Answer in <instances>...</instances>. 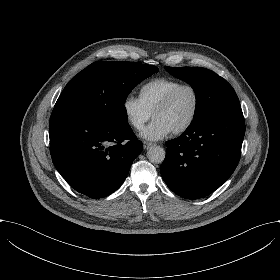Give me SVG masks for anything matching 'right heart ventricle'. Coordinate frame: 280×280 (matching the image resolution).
I'll return each mask as SVG.
<instances>
[{"instance_id": "obj_1", "label": "right heart ventricle", "mask_w": 280, "mask_h": 280, "mask_svg": "<svg viewBox=\"0 0 280 280\" xmlns=\"http://www.w3.org/2000/svg\"><path fill=\"white\" fill-rule=\"evenodd\" d=\"M182 81L170 77H155L143 83L138 89V96L151 113L156 106Z\"/></svg>"}]
</instances>
